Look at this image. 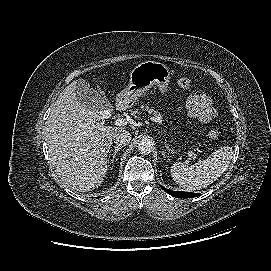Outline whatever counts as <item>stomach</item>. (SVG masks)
Returning <instances> with one entry per match:
<instances>
[{
    "instance_id": "1",
    "label": "stomach",
    "mask_w": 271,
    "mask_h": 271,
    "mask_svg": "<svg viewBox=\"0 0 271 271\" xmlns=\"http://www.w3.org/2000/svg\"><path fill=\"white\" fill-rule=\"evenodd\" d=\"M170 80L169 68L159 62L146 61L137 65L130 73L129 84L117 95V103L128 107L152 86H157L164 93Z\"/></svg>"
}]
</instances>
